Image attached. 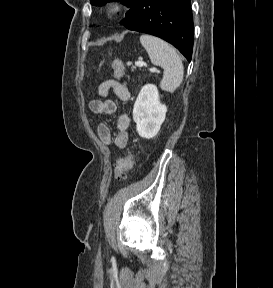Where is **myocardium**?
Listing matches in <instances>:
<instances>
[{
	"instance_id": "myocardium-1",
	"label": "myocardium",
	"mask_w": 273,
	"mask_h": 288,
	"mask_svg": "<svg viewBox=\"0 0 273 288\" xmlns=\"http://www.w3.org/2000/svg\"><path fill=\"white\" fill-rule=\"evenodd\" d=\"M126 9V4L122 0H112L106 3L104 7L105 13L110 17L119 16Z\"/></svg>"
}]
</instances>
